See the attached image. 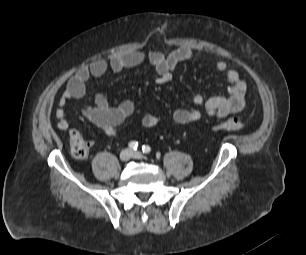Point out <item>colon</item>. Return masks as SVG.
Listing matches in <instances>:
<instances>
[{"instance_id": "1", "label": "colon", "mask_w": 306, "mask_h": 255, "mask_svg": "<svg viewBox=\"0 0 306 255\" xmlns=\"http://www.w3.org/2000/svg\"><path fill=\"white\" fill-rule=\"evenodd\" d=\"M215 130L223 131H239L243 128V123L234 117L228 118L216 124L213 127ZM69 142L71 154L75 158H85L89 154L90 143L77 130L69 132Z\"/></svg>"}]
</instances>
